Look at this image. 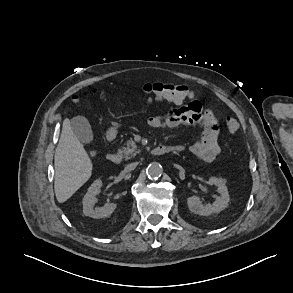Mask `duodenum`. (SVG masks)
<instances>
[{"label":"duodenum","mask_w":293,"mask_h":293,"mask_svg":"<svg viewBox=\"0 0 293 293\" xmlns=\"http://www.w3.org/2000/svg\"><path fill=\"white\" fill-rule=\"evenodd\" d=\"M109 142H112L113 139L109 138ZM178 151V147L174 145H161V146H156L151 149V154L154 156H160L166 153L170 152H176ZM109 160L114 163L118 164L123 160V156L121 153H110L108 156Z\"/></svg>","instance_id":"duodenum-1"}]
</instances>
